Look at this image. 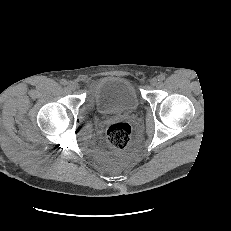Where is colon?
<instances>
[{"mask_svg":"<svg viewBox=\"0 0 231 231\" xmlns=\"http://www.w3.org/2000/svg\"><path fill=\"white\" fill-rule=\"evenodd\" d=\"M109 145L117 150L125 149L131 140V127L125 122L111 124L106 131Z\"/></svg>","mask_w":231,"mask_h":231,"instance_id":"obj_1","label":"colon"}]
</instances>
